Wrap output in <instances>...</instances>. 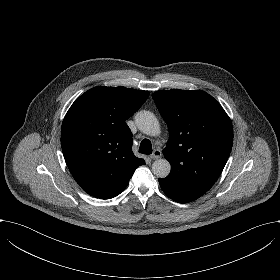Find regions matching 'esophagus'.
Returning <instances> with one entry per match:
<instances>
[{
    "label": "esophagus",
    "instance_id": "esophagus-1",
    "mask_svg": "<svg viewBox=\"0 0 280 280\" xmlns=\"http://www.w3.org/2000/svg\"><path fill=\"white\" fill-rule=\"evenodd\" d=\"M161 155H162L161 150H160V149H155V150L153 151V153L150 155V158H152V159H158V158L161 157Z\"/></svg>",
    "mask_w": 280,
    "mask_h": 280
}]
</instances>
